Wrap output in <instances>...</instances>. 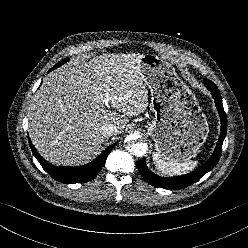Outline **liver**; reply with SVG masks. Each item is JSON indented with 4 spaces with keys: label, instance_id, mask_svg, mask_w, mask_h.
I'll list each match as a JSON object with an SVG mask.
<instances>
[{
    "label": "liver",
    "instance_id": "liver-1",
    "mask_svg": "<svg viewBox=\"0 0 248 248\" xmlns=\"http://www.w3.org/2000/svg\"><path fill=\"white\" fill-rule=\"evenodd\" d=\"M142 55L104 54L45 78L30 107L28 131L47 161L63 166L90 161L109 139L103 125H116L121 133L129 117L147 109Z\"/></svg>",
    "mask_w": 248,
    "mask_h": 248
}]
</instances>
